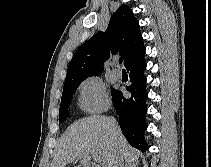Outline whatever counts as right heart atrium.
I'll return each mask as SVG.
<instances>
[{
    "instance_id": "1",
    "label": "right heart atrium",
    "mask_w": 211,
    "mask_h": 167,
    "mask_svg": "<svg viewBox=\"0 0 211 167\" xmlns=\"http://www.w3.org/2000/svg\"><path fill=\"white\" fill-rule=\"evenodd\" d=\"M79 103L83 110L96 113L104 110L109 103L105 84L97 76L86 78L79 86Z\"/></svg>"
}]
</instances>
